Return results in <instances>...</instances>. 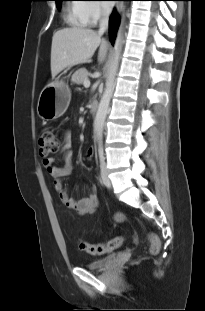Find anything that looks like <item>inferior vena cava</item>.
<instances>
[{
	"label": "inferior vena cava",
	"instance_id": "602c4592",
	"mask_svg": "<svg viewBox=\"0 0 205 311\" xmlns=\"http://www.w3.org/2000/svg\"><path fill=\"white\" fill-rule=\"evenodd\" d=\"M102 12H103V18L100 21V29H99L100 34H102L108 27V19H109L110 10L104 9Z\"/></svg>",
	"mask_w": 205,
	"mask_h": 311
}]
</instances>
